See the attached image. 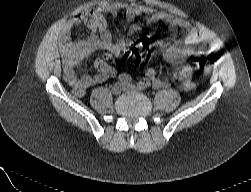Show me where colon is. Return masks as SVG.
<instances>
[{
    "mask_svg": "<svg viewBox=\"0 0 251 192\" xmlns=\"http://www.w3.org/2000/svg\"><path fill=\"white\" fill-rule=\"evenodd\" d=\"M124 56L130 61L141 62L153 56L152 42L149 38H138L124 51ZM218 60L214 54H200L197 57V67L201 71H206Z\"/></svg>",
    "mask_w": 251,
    "mask_h": 192,
    "instance_id": "1",
    "label": "colon"
}]
</instances>
